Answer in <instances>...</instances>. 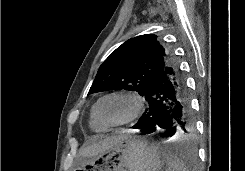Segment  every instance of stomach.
I'll list each match as a JSON object with an SVG mask.
<instances>
[{
	"label": "stomach",
	"mask_w": 245,
	"mask_h": 171,
	"mask_svg": "<svg viewBox=\"0 0 245 171\" xmlns=\"http://www.w3.org/2000/svg\"><path fill=\"white\" fill-rule=\"evenodd\" d=\"M163 166L164 158L157 146L124 135L111 149L81 158L72 171H160Z\"/></svg>",
	"instance_id": "1"
}]
</instances>
